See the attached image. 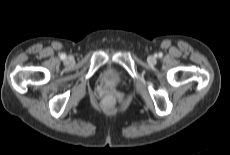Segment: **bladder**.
I'll use <instances>...</instances> for the list:
<instances>
[{
  "label": "bladder",
  "instance_id": "obj_1",
  "mask_svg": "<svg viewBox=\"0 0 230 155\" xmlns=\"http://www.w3.org/2000/svg\"><path fill=\"white\" fill-rule=\"evenodd\" d=\"M103 82L110 86H118L124 82V77L120 71L113 67H107L102 74Z\"/></svg>",
  "mask_w": 230,
  "mask_h": 155
}]
</instances>
